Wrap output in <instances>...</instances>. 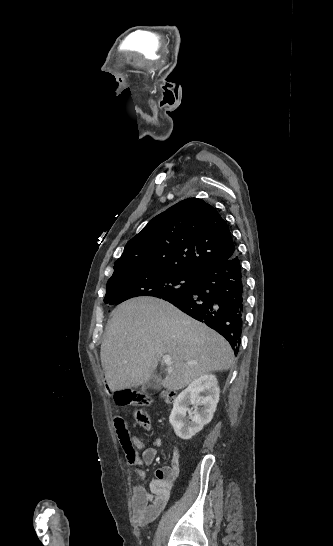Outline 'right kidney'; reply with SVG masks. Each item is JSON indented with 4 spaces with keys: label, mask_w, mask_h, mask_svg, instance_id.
Returning <instances> with one entry per match:
<instances>
[{
    "label": "right kidney",
    "mask_w": 333,
    "mask_h": 546,
    "mask_svg": "<svg viewBox=\"0 0 333 546\" xmlns=\"http://www.w3.org/2000/svg\"><path fill=\"white\" fill-rule=\"evenodd\" d=\"M219 393L216 376L204 374L175 398L169 421L179 438L191 439L212 420L219 401ZM199 405L203 407L197 410Z\"/></svg>",
    "instance_id": "ca27d5eb"
}]
</instances>
